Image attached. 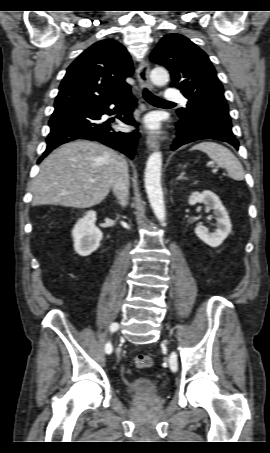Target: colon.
I'll return each instance as SVG.
<instances>
[{
	"label": "colon",
	"instance_id": "obj_1",
	"mask_svg": "<svg viewBox=\"0 0 270 453\" xmlns=\"http://www.w3.org/2000/svg\"><path fill=\"white\" fill-rule=\"evenodd\" d=\"M134 363L137 368L145 369L149 368L152 365L153 361L151 356L146 354H140L134 358Z\"/></svg>",
	"mask_w": 270,
	"mask_h": 453
}]
</instances>
